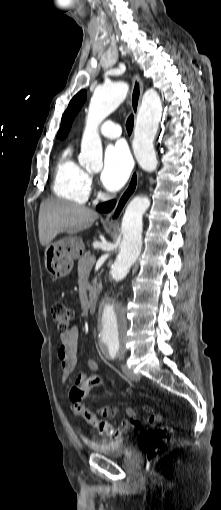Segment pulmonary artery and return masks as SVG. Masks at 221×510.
<instances>
[{
  "label": "pulmonary artery",
  "instance_id": "1",
  "mask_svg": "<svg viewBox=\"0 0 221 510\" xmlns=\"http://www.w3.org/2000/svg\"><path fill=\"white\" fill-rule=\"evenodd\" d=\"M102 136L108 139H116L121 135V128L118 124L107 121L99 129Z\"/></svg>",
  "mask_w": 221,
  "mask_h": 510
}]
</instances>
